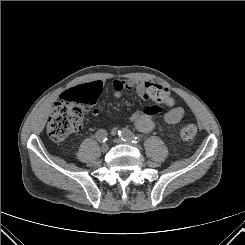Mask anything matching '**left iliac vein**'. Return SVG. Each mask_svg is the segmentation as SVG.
I'll return each mask as SVG.
<instances>
[{"instance_id":"4c4485c4","label":"left iliac vein","mask_w":245,"mask_h":245,"mask_svg":"<svg viewBox=\"0 0 245 245\" xmlns=\"http://www.w3.org/2000/svg\"><path fill=\"white\" fill-rule=\"evenodd\" d=\"M113 141L117 144L126 143V144L132 145L134 147H139V145L137 143L132 142L131 140L123 141L121 138H116Z\"/></svg>"}]
</instances>
